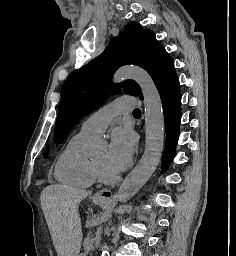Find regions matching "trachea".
Returning a JSON list of instances; mask_svg holds the SVG:
<instances>
[{
    "instance_id": "3493384b",
    "label": "trachea",
    "mask_w": 236,
    "mask_h": 256,
    "mask_svg": "<svg viewBox=\"0 0 236 256\" xmlns=\"http://www.w3.org/2000/svg\"><path fill=\"white\" fill-rule=\"evenodd\" d=\"M133 114H141V110L139 108H136L134 111H133Z\"/></svg>"
}]
</instances>
